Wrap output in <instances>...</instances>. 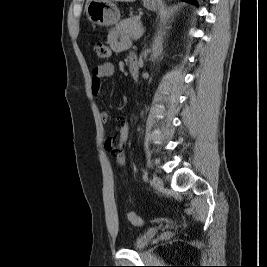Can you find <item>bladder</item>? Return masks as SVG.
Wrapping results in <instances>:
<instances>
[{"label": "bladder", "mask_w": 267, "mask_h": 267, "mask_svg": "<svg viewBox=\"0 0 267 267\" xmlns=\"http://www.w3.org/2000/svg\"><path fill=\"white\" fill-rule=\"evenodd\" d=\"M157 232V228H149L140 235H138L132 244L133 249L142 250L146 248L151 242V240L154 238V236L157 234Z\"/></svg>", "instance_id": "bladder-1"}]
</instances>
